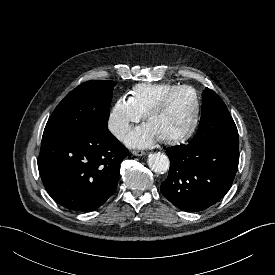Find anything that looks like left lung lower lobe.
Listing matches in <instances>:
<instances>
[{
  "instance_id": "obj_1",
  "label": "left lung lower lobe",
  "mask_w": 275,
  "mask_h": 275,
  "mask_svg": "<svg viewBox=\"0 0 275 275\" xmlns=\"http://www.w3.org/2000/svg\"><path fill=\"white\" fill-rule=\"evenodd\" d=\"M170 159L161 192L176 207L197 212L220 201L230 189L239 163L238 141H207L166 149Z\"/></svg>"
}]
</instances>
